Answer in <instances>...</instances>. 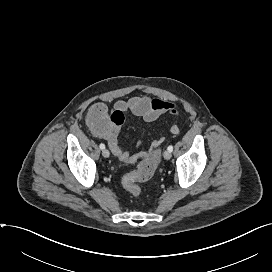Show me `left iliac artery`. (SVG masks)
<instances>
[{
	"mask_svg": "<svg viewBox=\"0 0 272 272\" xmlns=\"http://www.w3.org/2000/svg\"><path fill=\"white\" fill-rule=\"evenodd\" d=\"M167 150L172 152L173 151V146L172 145L168 146Z\"/></svg>",
	"mask_w": 272,
	"mask_h": 272,
	"instance_id": "1",
	"label": "left iliac artery"
}]
</instances>
